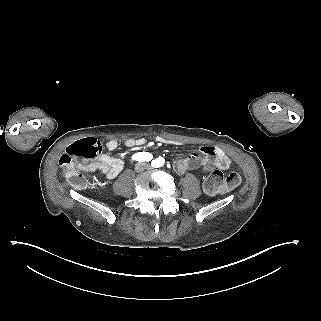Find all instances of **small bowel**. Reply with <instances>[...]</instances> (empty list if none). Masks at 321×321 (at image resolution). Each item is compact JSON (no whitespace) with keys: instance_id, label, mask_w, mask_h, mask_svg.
I'll list each match as a JSON object with an SVG mask.
<instances>
[{"instance_id":"obj_1","label":"small bowel","mask_w":321,"mask_h":321,"mask_svg":"<svg viewBox=\"0 0 321 321\" xmlns=\"http://www.w3.org/2000/svg\"><path fill=\"white\" fill-rule=\"evenodd\" d=\"M158 143L179 146L180 142L168 140L162 137L156 139ZM146 143L143 138H130L125 141V146L128 148L142 147ZM119 144L116 140L106 142V148L114 151ZM229 157L219 148L212 146H203L197 152L182 157L175 162V169L179 173H184L189 170L199 169L201 173H208L213 168L225 170L230 166ZM124 160L115 158L107 154H101L96 160L88 161L83 165V169L87 172L100 171L106 175L108 179H114L122 171Z\"/></svg>"}]
</instances>
